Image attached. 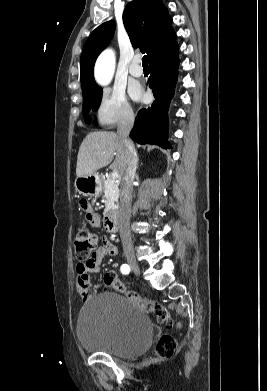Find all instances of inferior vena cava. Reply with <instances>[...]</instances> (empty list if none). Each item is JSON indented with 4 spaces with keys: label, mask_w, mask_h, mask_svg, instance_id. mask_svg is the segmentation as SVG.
Instances as JSON below:
<instances>
[{
    "label": "inferior vena cava",
    "mask_w": 267,
    "mask_h": 391,
    "mask_svg": "<svg viewBox=\"0 0 267 391\" xmlns=\"http://www.w3.org/2000/svg\"><path fill=\"white\" fill-rule=\"evenodd\" d=\"M134 124L133 113H127L120 121L117 127V135L121 140V143L126 150V169L123 173L121 191H120V203H119V216L118 227L120 237L122 240L124 252H132L133 245L131 235L129 231L130 214H131V201L133 193V181L135 172L137 169L138 156L135 147L131 140H129V133Z\"/></svg>",
    "instance_id": "602c4592"
}]
</instances>
